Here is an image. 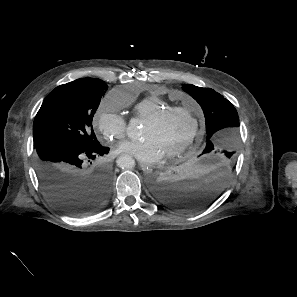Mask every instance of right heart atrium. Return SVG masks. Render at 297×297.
<instances>
[{
    "mask_svg": "<svg viewBox=\"0 0 297 297\" xmlns=\"http://www.w3.org/2000/svg\"><path fill=\"white\" fill-rule=\"evenodd\" d=\"M120 107L121 103L110 93L102 100L96 112V126L108 141L120 140L126 133V119L120 113Z\"/></svg>",
    "mask_w": 297,
    "mask_h": 297,
    "instance_id": "right-heart-atrium-1",
    "label": "right heart atrium"
}]
</instances>
